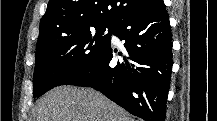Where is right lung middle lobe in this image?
<instances>
[{
  "label": "right lung middle lobe",
  "mask_w": 217,
  "mask_h": 121,
  "mask_svg": "<svg viewBox=\"0 0 217 121\" xmlns=\"http://www.w3.org/2000/svg\"><path fill=\"white\" fill-rule=\"evenodd\" d=\"M115 24H93L36 48L34 97L69 85L96 63L111 42ZM108 31V34L105 32Z\"/></svg>",
  "instance_id": "obj_1"
}]
</instances>
